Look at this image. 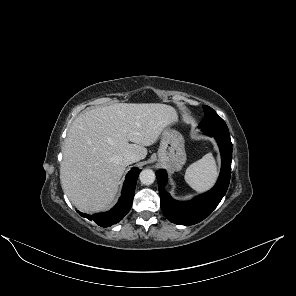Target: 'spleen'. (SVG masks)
Returning <instances> with one entry per match:
<instances>
[{
  "label": "spleen",
  "mask_w": 296,
  "mask_h": 296,
  "mask_svg": "<svg viewBox=\"0 0 296 296\" xmlns=\"http://www.w3.org/2000/svg\"><path fill=\"white\" fill-rule=\"evenodd\" d=\"M217 177V166L212 153H207L186 170L185 181L197 192L209 189Z\"/></svg>",
  "instance_id": "obj_1"
}]
</instances>
